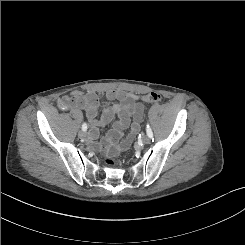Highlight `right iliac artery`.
I'll list each match as a JSON object with an SVG mask.
<instances>
[{
	"label": "right iliac artery",
	"mask_w": 245,
	"mask_h": 245,
	"mask_svg": "<svg viewBox=\"0 0 245 245\" xmlns=\"http://www.w3.org/2000/svg\"><path fill=\"white\" fill-rule=\"evenodd\" d=\"M82 130H83V131H86V130H87V124H86V123H83V125H82Z\"/></svg>",
	"instance_id": "82829eb1"
}]
</instances>
